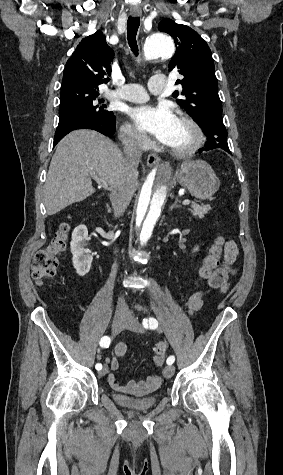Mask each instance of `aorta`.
Instances as JSON below:
<instances>
[{"label": "aorta", "mask_w": 283, "mask_h": 475, "mask_svg": "<svg viewBox=\"0 0 283 475\" xmlns=\"http://www.w3.org/2000/svg\"><path fill=\"white\" fill-rule=\"evenodd\" d=\"M175 52L173 40L168 35L156 33L144 44V58H170ZM173 185L172 167L162 163L148 174L138 198L130 225L131 237L139 246H145L151 239L161 218L165 203Z\"/></svg>", "instance_id": "762f6f07"}]
</instances>
